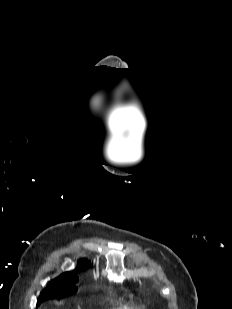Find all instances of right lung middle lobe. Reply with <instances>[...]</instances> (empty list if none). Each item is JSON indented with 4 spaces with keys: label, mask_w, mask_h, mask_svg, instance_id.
<instances>
[{
    "label": "right lung middle lobe",
    "mask_w": 232,
    "mask_h": 309,
    "mask_svg": "<svg viewBox=\"0 0 232 309\" xmlns=\"http://www.w3.org/2000/svg\"><path fill=\"white\" fill-rule=\"evenodd\" d=\"M76 283H60L58 285L49 284L40 294L37 301V306L45 300L55 299L58 296H68L76 293Z\"/></svg>",
    "instance_id": "right-lung-middle-lobe-1"
}]
</instances>
